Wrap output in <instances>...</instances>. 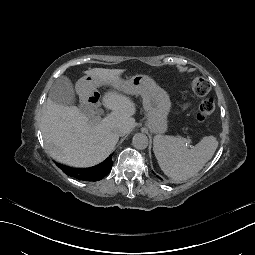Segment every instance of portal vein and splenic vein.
I'll list each match as a JSON object with an SVG mask.
<instances>
[{
    "label": "portal vein and splenic vein",
    "instance_id": "1",
    "mask_svg": "<svg viewBox=\"0 0 255 255\" xmlns=\"http://www.w3.org/2000/svg\"><path fill=\"white\" fill-rule=\"evenodd\" d=\"M100 119H101L100 115L97 114L93 119V122L97 123L100 121ZM186 142H189V147H194V142H191V136H186Z\"/></svg>",
    "mask_w": 255,
    "mask_h": 255
}]
</instances>
